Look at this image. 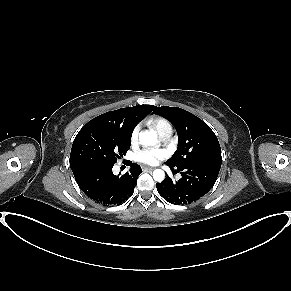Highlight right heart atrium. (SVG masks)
I'll return each instance as SVG.
<instances>
[{
	"mask_svg": "<svg viewBox=\"0 0 291 291\" xmlns=\"http://www.w3.org/2000/svg\"><path fill=\"white\" fill-rule=\"evenodd\" d=\"M139 131H140V126L137 125L133 128L132 132H131V136H130V139H131V142L134 143L137 141L138 139V135H139Z\"/></svg>",
	"mask_w": 291,
	"mask_h": 291,
	"instance_id": "1",
	"label": "right heart atrium"
}]
</instances>
